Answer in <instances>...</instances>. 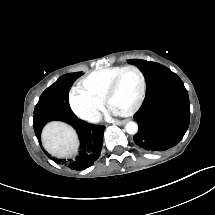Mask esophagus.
I'll use <instances>...</instances> for the list:
<instances>
[{
	"mask_svg": "<svg viewBox=\"0 0 215 215\" xmlns=\"http://www.w3.org/2000/svg\"><path fill=\"white\" fill-rule=\"evenodd\" d=\"M125 123V121H122V122H120V124H124ZM118 124V123H117Z\"/></svg>",
	"mask_w": 215,
	"mask_h": 215,
	"instance_id": "esophagus-1",
	"label": "esophagus"
}]
</instances>
